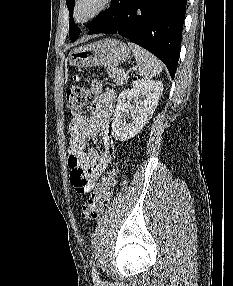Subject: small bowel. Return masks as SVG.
Masks as SVG:
<instances>
[{
  "label": "small bowel",
  "mask_w": 233,
  "mask_h": 286,
  "mask_svg": "<svg viewBox=\"0 0 233 286\" xmlns=\"http://www.w3.org/2000/svg\"><path fill=\"white\" fill-rule=\"evenodd\" d=\"M90 89L93 100L89 114L75 116L69 125V179L78 194L90 192L111 161L110 119L116 92L105 89L99 80H93ZM98 135L103 146L101 150L91 146Z\"/></svg>",
  "instance_id": "1"
}]
</instances>
